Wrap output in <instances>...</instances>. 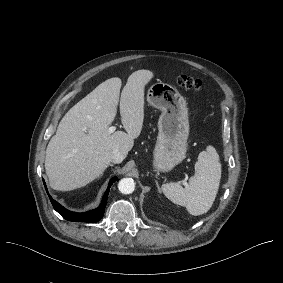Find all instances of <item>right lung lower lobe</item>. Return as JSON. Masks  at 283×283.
I'll return each instance as SVG.
<instances>
[{
  "mask_svg": "<svg viewBox=\"0 0 283 283\" xmlns=\"http://www.w3.org/2000/svg\"><path fill=\"white\" fill-rule=\"evenodd\" d=\"M115 180H116V178H113L110 181L109 187H108L107 191L105 192V194L103 196V199H102L100 206L97 209L92 210V211H88L86 213H75V212L68 211L64 207H62L58 202L53 200L52 197L49 194H48V196L50 198V201H51L54 209L59 214H61L62 217L65 218L66 220L93 223V222L99 221L103 217L105 207H106V201H107V197H108V193H109V188ZM44 186L46 188L45 183H44Z\"/></svg>",
  "mask_w": 283,
  "mask_h": 283,
  "instance_id": "right-lung-lower-lobe-1",
  "label": "right lung lower lobe"
}]
</instances>
